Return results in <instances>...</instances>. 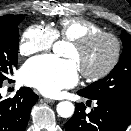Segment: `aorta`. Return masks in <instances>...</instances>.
<instances>
[{
	"label": "aorta",
	"mask_w": 131,
	"mask_h": 131,
	"mask_svg": "<svg viewBox=\"0 0 131 131\" xmlns=\"http://www.w3.org/2000/svg\"><path fill=\"white\" fill-rule=\"evenodd\" d=\"M65 45L66 42L64 41L55 42L53 45V52L58 56H62L65 52ZM56 110L59 116L68 118L74 113V105L70 101H62L58 103Z\"/></svg>",
	"instance_id": "762f6f07"
}]
</instances>
